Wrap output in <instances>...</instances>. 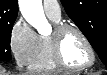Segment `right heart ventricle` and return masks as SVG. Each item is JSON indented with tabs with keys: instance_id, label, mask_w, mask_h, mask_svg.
I'll return each instance as SVG.
<instances>
[{
	"instance_id": "1",
	"label": "right heart ventricle",
	"mask_w": 107,
	"mask_h": 75,
	"mask_svg": "<svg viewBox=\"0 0 107 75\" xmlns=\"http://www.w3.org/2000/svg\"><path fill=\"white\" fill-rule=\"evenodd\" d=\"M50 19L59 24L60 19ZM29 68L35 72H51L58 70V66L55 64L52 58V50L50 43V36L38 35V43L35 54L29 64Z\"/></svg>"
}]
</instances>
